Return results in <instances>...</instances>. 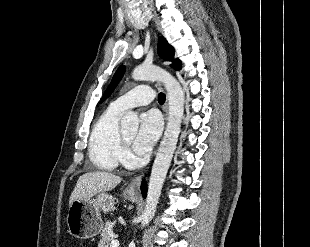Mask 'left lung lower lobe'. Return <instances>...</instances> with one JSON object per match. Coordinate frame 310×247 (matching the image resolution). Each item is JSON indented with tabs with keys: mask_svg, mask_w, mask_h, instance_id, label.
Returning a JSON list of instances; mask_svg holds the SVG:
<instances>
[{
	"mask_svg": "<svg viewBox=\"0 0 310 247\" xmlns=\"http://www.w3.org/2000/svg\"><path fill=\"white\" fill-rule=\"evenodd\" d=\"M141 191H142V195L144 197H146V194H147V187H146V184L145 182H143L142 186H141Z\"/></svg>",
	"mask_w": 310,
	"mask_h": 247,
	"instance_id": "obj_1",
	"label": "left lung lower lobe"
}]
</instances>
